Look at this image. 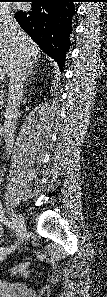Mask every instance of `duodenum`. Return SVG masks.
Masks as SVG:
<instances>
[{"mask_svg":"<svg viewBox=\"0 0 107 297\" xmlns=\"http://www.w3.org/2000/svg\"><path fill=\"white\" fill-rule=\"evenodd\" d=\"M0 103H1V102H0ZM2 128H3L2 123H0V133H1V131H2Z\"/></svg>","mask_w":107,"mask_h":297,"instance_id":"410a0bca","label":"duodenum"}]
</instances>
